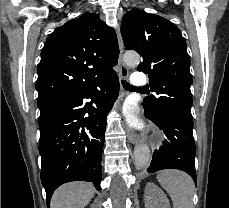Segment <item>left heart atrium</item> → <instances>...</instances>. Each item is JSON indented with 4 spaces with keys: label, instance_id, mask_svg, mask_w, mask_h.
I'll list each match as a JSON object with an SVG mask.
<instances>
[{
    "label": "left heart atrium",
    "instance_id": "1",
    "mask_svg": "<svg viewBox=\"0 0 229 208\" xmlns=\"http://www.w3.org/2000/svg\"><path fill=\"white\" fill-rule=\"evenodd\" d=\"M128 116L132 122H135V113L133 111H129Z\"/></svg>",
    "mask_w": 229,
    "mask_h": 208
}]
</instances>
